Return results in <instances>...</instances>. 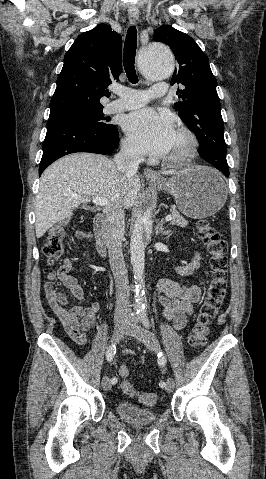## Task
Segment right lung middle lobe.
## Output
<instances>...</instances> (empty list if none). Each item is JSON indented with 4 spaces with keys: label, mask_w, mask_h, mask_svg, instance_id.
<instances>
[{
    "label": "right lung middle lobe",
    "mask_w": 266,
    "mask_h": 479,
    "mask_svg": "<svg viewBox=\"0 0 266 479\" xmlns=\"http://www.w3.org/2000/svg\"><path fill=\"white\" fill-rule=\"evenodd\" d=\"M103 107L99 108H73L50 113L49 120L60 119L78 122L93 128L103 129L111 128L102 112Z\"/></svg>",
    "instance_id": "right-lung-middle-lobe-1"
}]
</instances>
